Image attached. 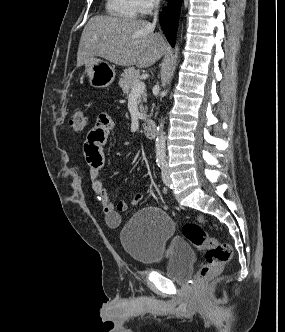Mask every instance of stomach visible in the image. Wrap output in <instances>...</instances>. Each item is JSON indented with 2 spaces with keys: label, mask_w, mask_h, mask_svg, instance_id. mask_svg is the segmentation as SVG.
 Masks as SVG:
<instances>
[{
  "label": "stomach",
  "mask_w": 285,
  "mask_h": 332,
  "mask_svg": "<svg viewBox=\"0 0 285 332\" xmlns=\"http://www.w3.org/2000/svg\"><path fill=\"white\" fill-rule=\"evenodd\" d=\"M90 85L94 88H107L115 80L114 68L100 59L94 58L85 65Z\"/></svg>",
  "instance_id": "0dacf381"
}]
</instances>
